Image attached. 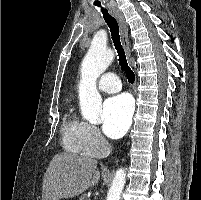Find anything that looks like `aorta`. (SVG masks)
Returning <instances> with one entry per match:
<instances>
[{"label": "aorta", "instance_id": "1", "mask_svg": "<svg viewBox=\"0 0 201 200\" xmlns=\"http://www.w3.org/2000/svg\"><path fill=\"white\" fill-rule=\"evenodd\" d=\"M114 59L112 50L102 43L92 42L81 64V80L79 83V102L81 114L92 124L99 123L102 98L97 90L96 81ZM126 182V171H116L113 183L106 200H120Z\"/></svg>", "mask_w": 201, "mask_h": 200}]
</instances>
